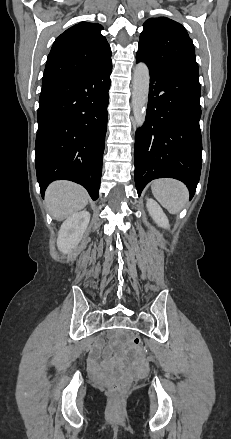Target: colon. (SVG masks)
<instances>
[{
	"instance_id": "1",
	"label": "colon",
	"mask_w": 231,
	"mask_h": 439,
	"mask_svg": "<svg viewBox=\"0 0 231 439\" xmlns=\"http://www.w3.org/2000/svg\"><path fill=\"white\" fill-rule=\"evenodd\" d=\"M130 342H131L132 346H134L136 348H140L142 346L141 338L138 335H132L130 338ZM126 387H127V380L126 379H122V378L111 379L110 384H109V390H110L111 396L114 399L121 398L125 394Z\"/></svg>"
}]
</instances>
